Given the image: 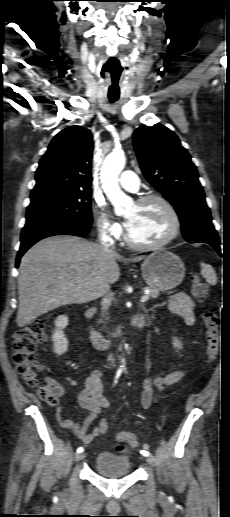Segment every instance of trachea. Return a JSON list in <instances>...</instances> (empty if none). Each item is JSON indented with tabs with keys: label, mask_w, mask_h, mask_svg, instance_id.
<instances>
[{
	"label": "trachea",
	"mask_w": 230,
	"mask_h": 517,
	"mask_svg": "<svg viewBox=\"0 0 230 517\" xmlns=\"http://www.w3.org/2000/svg\"><path fill=\"white\" fill-rule=\"evenodd\" d=\"M108 99L110 100V102L113 103V102H116L119 99V97L109 94Z\"/></svg>",
	"instance_id": "obj_1"
}]
</instances>
